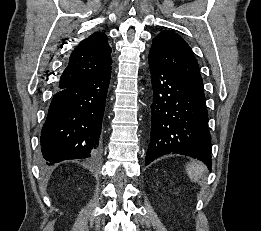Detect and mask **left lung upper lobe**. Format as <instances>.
<instances>
[{
    "label": "left lung upper lobe",
    "mask_w": 261,
    "mask_h": 231,
    "mask_svg": "<svg viewBox=\"0 0 261 231\" xmlns=\"http://www.w3.org/2000/svg\"><path fill=\"white\" fill-rule=\"evenodd\" d=\"M148 58L155 60L196 92H203L198 63L189 45L176 33L163 31L153 39Z\"/></svg>",
    "instance_id": "obj_1"
}]
</instances>
